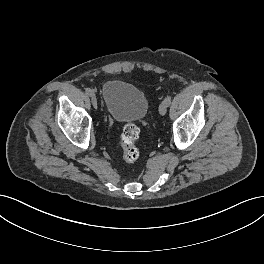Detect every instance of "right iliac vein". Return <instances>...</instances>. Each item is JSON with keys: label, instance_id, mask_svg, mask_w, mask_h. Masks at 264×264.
<instances>
[{"label": "right iliac vein", "instance_id": "obj_1", "mask_svg": "<svg viewBox=\"0 0 264 264\" xmlns=\"http://www.w3.org/2000/svg\"><path fill=\"white\" fill-rule=\"evenodd\" d=\"M90 96H91V101H92L94 108L97 109L98 104H97V99H96L95 94L92 93Z\"/></svg>", "mask_w": 264, "mask_h": 264}]
</instances>
